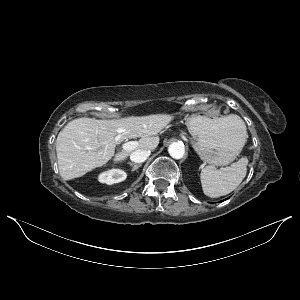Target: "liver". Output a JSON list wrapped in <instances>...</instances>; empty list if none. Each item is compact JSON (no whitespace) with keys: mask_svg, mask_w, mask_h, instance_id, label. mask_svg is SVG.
Masks as SVG:
<instances>
[{"mask_svg":"<svg viewBox=\"0 0 300 300\" xmlns=\"http://www.w3.org/2000/svg\"><path fill=\"white\" fill-rule=\"evenodd\" d=\"M170 120L168 115L132 116L117 120L82 117L72 120L60 131L56 140L61 177L64 180L81 177L111 158L114 162L126 160L134 149L115 154L116 144L125 139L139 137L136 150H155L160 141L158 134Z\"/></svg>","mask_w":300,"mask_h":300,"instance_id":"obj_1","label":"liver"}]
</instances>
